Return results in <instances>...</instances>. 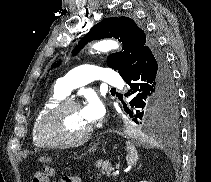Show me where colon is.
Returning a JSON list of instances; mask_svg holds the SVG:
<instances>
[{
  "mask_svg": "<svg viewBox=\"0 0 211 182\" xmlns=\"http://www.w3.org/2000/svg\"><path fill=\"white\" fill-rule=\"evenodd\" d=\"M55 175L54 169L51 166H45L43 172L35 174L33 182H46L49 178Z\"/></svg>",
  "mask_w": 211,
  "mask_h": 182,
  "instance_id": "5ec220e1",
  "label": "colon"
}]
</instances>
